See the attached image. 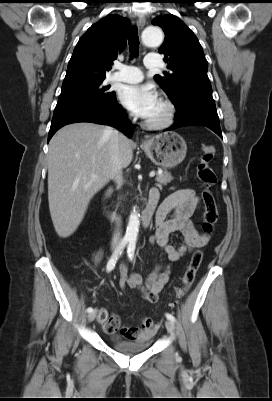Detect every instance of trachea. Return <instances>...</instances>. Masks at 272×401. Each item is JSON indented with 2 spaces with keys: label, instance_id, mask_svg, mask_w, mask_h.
<instances>
[{
  "label": "trachea",
  "instance_id": "1",
  "mask_svg": "<svg viewBox=\"0 0 272 401\" xmlns=\"http://www.w3.org/2000/svg\"><path fill=\"white\" fill-rule=\"evenodd\" d=\"M128 44H129V50H130V57H136L138 56V50H139V36H138V30L134 26L131 28L128 34Z\"/></svg>",
  "mask_w": 272,
  "mask_h": 401
}]
</instances>
